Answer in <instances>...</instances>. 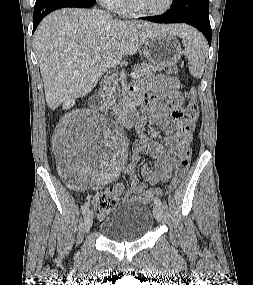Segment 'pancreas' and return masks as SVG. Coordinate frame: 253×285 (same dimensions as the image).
Segmentation results:
<instances>
[{"label": "pancreas", "instance_id": "obj_1", "mask_svg": "<svg viewBox=\"0 0 253 285\" xmlns=\"http://www.w3.org/2000/svg\"><path fill=\"white\" fill-rule=\"evenodd\" d=\"M134 71L139 74L140 77H149L154 75L156 72H161L164 67L153 65L150 63H143L141 65L134 66ZM167 74H177L178 69L176 67L168 69ZM120 87L116 80H107L105 82L104 88L101 92V96L105 101V105L109 108L116 103V99L120 97Z\"/></svg>", "mask_w": 253, "mask_h": 285}]
</instances>
